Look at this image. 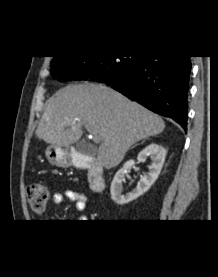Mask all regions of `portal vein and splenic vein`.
Segmentation results:
<instances>
[{"instance_id":"1","label":"portal vein and splenic vein","mask_w":218,"mask_h":277,"mask_svg":"<svg viewBox=\"0 0 218 277\" xmlns=\"http://www.w3.org/2000/svg\"><path fill=\"white\" fill-rule=\"evenodd\" d=\"M85 128H86L89 132H91L90 126H89L88 124H85ZM91 133H92V132H91ZM92 134H93V133H92ZM93 140H94L95 143L100 142L99 139H98V136H97L96 134H93Z\"/></svg>"}]
</instances>
